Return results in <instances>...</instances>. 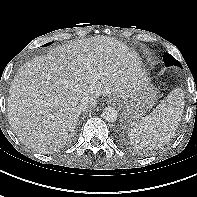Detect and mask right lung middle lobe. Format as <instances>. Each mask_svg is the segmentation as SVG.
Here are the masks:
<instances>
[{
  "label": "right lung middle lobe",
  "instance_id": "right-lung-middle-lobe-1",
  "mask_svg": "<svg viewBox=\"0 0 197 197\" xmlns=\"http://www.w3.org/2000/svg\"><path fill=\"white\" fill-rule=\"evenodd\" d=\"M53 42H49V43H46L44 46H48V45H50V44H52Z\"/></svg>",
  "mask_w": 197,
  "mask_h": 197
}]
</instances>
